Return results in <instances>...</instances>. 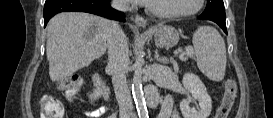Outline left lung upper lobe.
<instances>
[{
    "mask_svg": "<svg viewBox=\"0 0 273 118\" xmlns=\"http://www.w3.org/2000/svg\"><path fill=\"white\" fill-rule=\"evenodd\" d=\"M200 17L225 22V8L223 0H207V6Z\"/></svg>",
    "mask_w": 273,
    "mask_h": 118,
    "instance_id": "left-lung-upper-lobe-1",
    "label": "left lung upper lobe"
}]
</instances>
